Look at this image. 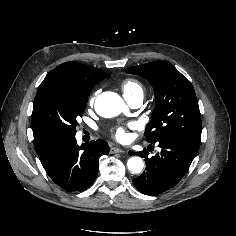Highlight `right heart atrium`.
Returning a JSON list of instances; mask_svg holds the SVG:
<instances>
[{"label": "right heart atrium", "mask_w": 236, "mask_h": 236, "mask_svg": "<svg viewBox=\"0 0 236 236\" xmlns=\"http://www.w3.org/2000/svg\"><path fill=\"white\" fill-rule=\"evenodd\" d=\"M94 99H95V97H94V96H92V97H91V99H90V104H93V102H94Z\"/></svg>", "instance_id": "obj_1"}]
</instances>
